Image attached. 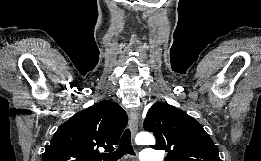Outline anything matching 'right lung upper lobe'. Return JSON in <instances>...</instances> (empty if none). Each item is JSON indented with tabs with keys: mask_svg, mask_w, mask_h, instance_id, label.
<instances>
[{
	"mask_svg": "<svg viewBox=\"0 0 261 161\" xmlns=\"http://www.w3.org/2000/svg\"><path fill=\"white\" fill-rule=\"evenodd\" d=\"M128 121L116 103L104 100L59 126L42 161H101L98 148L113 150Z\"/></svg>",
	"mask_w": 261,
	"mask_h": 161,
	"instance_id": "1",
	"label": "right lung upper lobe"
}]
</instances>
